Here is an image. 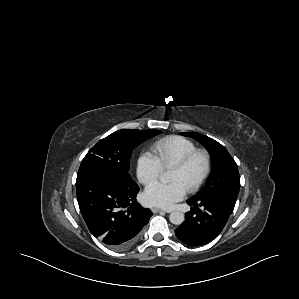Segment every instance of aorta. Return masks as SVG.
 <instances>
[{"label": "aorta", "mask_w": 299, "mask_h": 299, "mask_svg": "<svg viewBox=\"0 0 299 299\" xmlns=\"http://www.w3.org/2000/svg\"><path fill=\"white\" fill-rule=\"evenodd\" d=\"M160 181L162 183H167L168 182V177L166 174H163L160 176ZM184 214L180 211H174L170 214L169 220L172 224L174 225H181L184 222Z\"/></svg>", "instance_id": "aorta-1"}]
</instances>
